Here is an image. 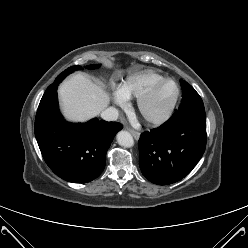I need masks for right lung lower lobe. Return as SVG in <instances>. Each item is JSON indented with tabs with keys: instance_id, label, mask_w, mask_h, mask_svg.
Segmentation results:
<instances>
[{
	"instance_id": "right-lung-lower-lobe-1",
	"label": "right lung lower lobe",
	"mask_w": 248,
	"mask_h": 248,
	"mask_svg": "<svg viewBox=\"0 0 248 248\" xmlns=\"http://www.w3.org/2000/svg\"><path fill=\"white\" fill-rule=\"evenodd\" d=\"M121 129L120 123L97 118L85 124L66 122L59 112L57 92L40 101L35 119V136L45 162L72 183L90 182L102 173L107 150Z\"/></svg>"
}]
</instances>
